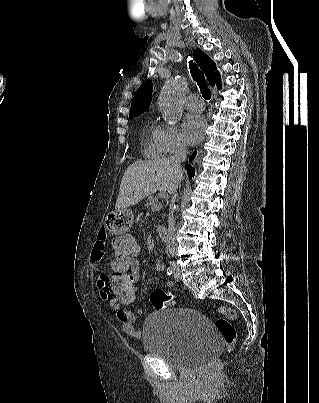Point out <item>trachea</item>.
Returning a JSON list of instances; mask_svg holds the SVG:
<instances>
[{
  "instance_id": "3493384b",
  "label": "trachea",
  "mask_w": 319,
  "mask_h": 403,
  "mask_svg": "<svg viewBox=\"0 0 319 403\" xmlns=\"http://www.w3.org/2000/svg\"><path fill=\"white\" fill-rule=\"evenodd\" d=\"M189 68H190V71H191V74H192L194 80L197 82V85L200 88L203 98L205 100H210L211 91L206 83L204 74L200 71L198 66L192 61L189 62Z\"/></svg>"
}]
</instances>
